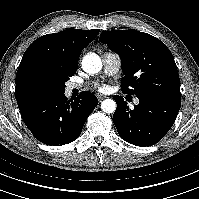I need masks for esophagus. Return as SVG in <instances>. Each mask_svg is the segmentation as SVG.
Listing matches in <instances>:
<instances>
[{
    "mask_svg": "<svg viewBox=\"0 0 199 199\" xmlns=\"http://www.w3.org/2000/svg\"><path fill=\"white\" fill-rule=\"evenodd\" d=\"M97 98L99 101H102L103 99L106 98V96L102 95V94H97Z\"/></svg>",
    "mask_w": 199,
    "mask_h": 199,
    "instance_id": "esophagus-1",
    "label": "esophagus"
}]
</instances>
